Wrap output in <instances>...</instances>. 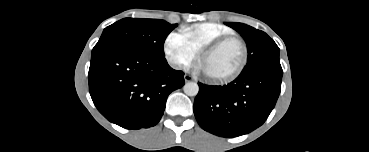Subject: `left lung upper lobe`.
I'll return each instance as SVG.
<instances>
[{
	"label": "left lung upper lobe",
	"instance_id": "obj_1",
	"mask_svg": "<svg viewBox=\"0 0 369 152\" xmlns=\"http://www.w3.org/2000/svg\"><path fill=\"white\" fill-rule=\"evenodd\" d=\"M226 25L240 33L247 44V65L240 76H248L262 70L282 71L279 48L265 32L242 23L228 22Z\"/></svg>",
	"mask_w": 369,
	"mask_h": 152
}]
</instances>
